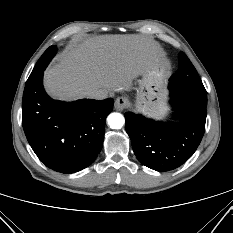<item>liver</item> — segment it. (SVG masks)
I'll use <instances>...</instances> for the list:
<instances>
[{
	"mask_svg": "<svg viewBox=\"0 0 233 233\" xmlns=\"http://www.w3.org/2000/svg\"><path fill=\"white\" fill-rule=\"evenodd\" d=\"M159 55L158 44L144 35L92 36L69 45L44 73V86L55 98L71 101L98 89L129 90Z\"/></svg>",
	"mask_w": 233,
	"mask_h": 233,
	"instance_id": "1",
	"label": "liver"
}]
</instances>
